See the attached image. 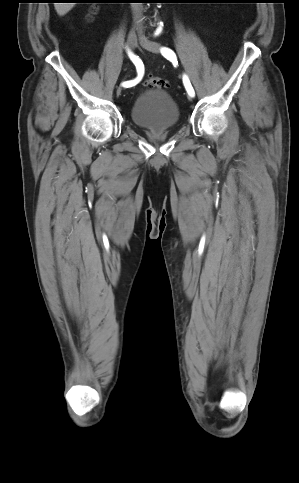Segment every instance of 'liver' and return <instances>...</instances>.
<instances>
[{
  "label": "liver",
  "instance_id": "1",
  "mask_svg": "<svg viewBox=\"0 0 299 483\" xmlns=\"http://www.w3.org/2000/svg\"><path fill=\"white\" fill-rule=\"evenodd\" d=\"M74 4L75 3H54V7L58 15L63 16L73 8Z\"/></svg>",
  "mask_w": 299,
  "mask_h": 483
}]
</instances>
